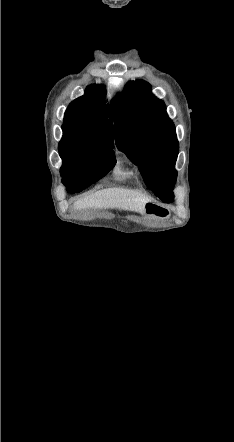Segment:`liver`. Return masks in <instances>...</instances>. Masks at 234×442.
I'll return each mask as SVG.
<instances>
[{
  "mask_svg": "<svg viewBox=\"0 0 234 442\" xmlns=\"http://www.w3.org/2000/svg\"><path fill=\"white\" fill-rule=\"evenodd\" d=\"M147 202H149V199L137 191L108 188L76 201L74 208L77 210L116 208L144 213V206Z\"/></svg>",
  "mask_w": 234,
  "mask_h": 442,
  "instance_id": "obj_1",
  "label": "liver"
}]
</instances>
